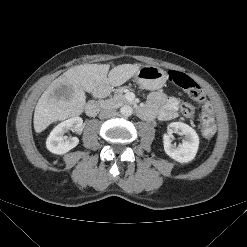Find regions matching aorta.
Segmentation results:
<instances>
[{"label":"aorta","instance_id":"aorta-1","mask_svg":"<svg viewBox=\"0 0 247 247\" xmlns=\"http://www.w3.org/2000/svg\"><path fill=\"white\" fill-rule=\"evenodd\" d=\"M120 113L125 117H129L133 114V109L129 105H124L121 107Z\"/></svg>","mask_w":247,"mask_h":247}]
</instances>
